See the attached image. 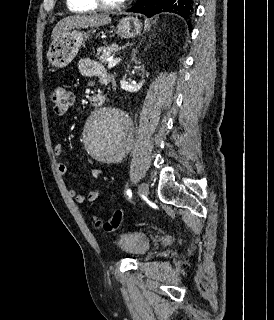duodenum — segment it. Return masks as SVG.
Instances as JSON below:
<instances>
[{"mask_svg":"<svg viewBox=\"0 0 274 320\" xmlns=\"http://www.w3.org/2000/svg\"><path fill=\"white\" fill-rule=\"evenodd\" d=\"M91 104L94 106H100L105 101V96L102 94H96L91 98Z\"/></svg>","mask_w":274,"mask_h":320,"instance_id":"410a0bca","label":"duodenum"}]
</instances>
